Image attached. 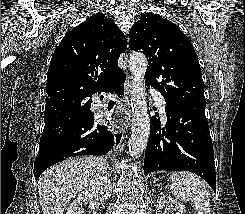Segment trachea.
I'll return each mask as SVG.
<instances>
[{
  "label": "trachea",
  "instance_id": "1",
  "mask_svg": "<svg viewBox=\"0 0 245 214\" xmlns=\"http://www.w3.org/2000/svg\"><path fill=\"white\" fill-rule=\"evenodd\" d=\"M109 103H114V101L110 100Z\"/></svg>",
  "mask_w": 245,
  "mask_h": 214
}]
</instances>
